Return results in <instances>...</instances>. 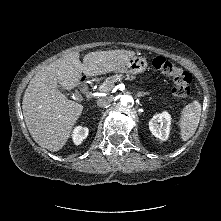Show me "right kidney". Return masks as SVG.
Listing matches in <instances>:
<instances>
[{
	"mask_svg": "<svg viewBox=\"0 0 221 221\" xmlns=\"http://www.w3.org/2000/svg\"><path fill=\"white\" fill-rule=\"evenodd\" d=\"M88 133L89 130L87 127L77 126L73 131V136H72L73 142L76 145L81 144L82 141L87 138Z\"/></svg>",
	"mask_w": 221,
	"mask_h": 221,
	"instance_id": "obj_1",
	"label": "right kidney"
}]
</instances>
